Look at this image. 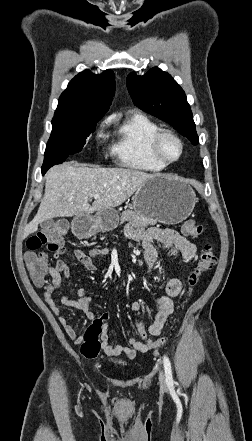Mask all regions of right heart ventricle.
<instances>
[{
  "label": "right heart ventricle",
  "mask_w": 252,
  "mask_h": 441,
  "mask_svg": "<svg viewBox=\"0 0 252 441\" xmlns=\"http://www.w3.org/2000/svg\"><path fill=\"white\" fill-rule=\"evenodd\" d=\"M160 129L158 124L141 113H133L120 121L115 129L111 153L121 165L144 172H160L166 166L150 152V141Z\"/></svg>",
  "instance_id": "e07e8e85"
}]
</instances>
